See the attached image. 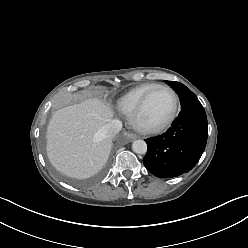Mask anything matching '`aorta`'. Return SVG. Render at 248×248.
Masks as SVG:
<instances>
[{"instance_id": "aorta-1", "label": "aorta", "mask_w": 248, "mask_h": 248, "mask_svg": "<svg viewBox=\"0 0 248 248\" xmlns=\"http://www.w3.org/2000/svg\"><path fill=\"white\" fill-rule=\"evenodd\" d=\"M132 149L137 154H145L147 152V144L144 140H135Z\"/></svg>"}]
</instances>
